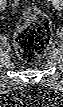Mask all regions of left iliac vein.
<instances>
[{
	"mask_svg": "<svg viewBox=\"0 0 63 107\" xmlns=\"http://www.w3.org/2000/svg\"><path fill=\"white\" fill-rule=\"evenodd\" d=\"M53 3L56 5V3H58V2H56V1H53ZM58 6V5H57Z\"/></svg>",
	"mask_w": 63,
	"mask_h": 107,
	"instance_id": "1",
	"label": "left iliac vein"
}]
</instances>
